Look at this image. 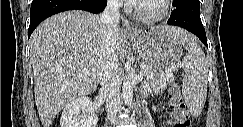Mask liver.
Wrapping results in <instances>:
<instances>
[{
	"mask_svg": "<svg viewBox=\"0 0 243 127\" xmlns=\"http://www.w3.org/2000/svg\"><path fill=\"white\" fill-rule=\"evenodd\" d=\"M164 28L171 33H186ZM106 30L100 15L72 10L46 19L33 32L30 53L35 103L43 127H50L55 116L73 99L96 90ZM114 39L118 53L125 42L119 28Z\"/></svg>",
	"mask_w": 243,
	"mask_h": 127,
	"instance_id": "obj_1",
	"label": "liver"
}]
</instances>
